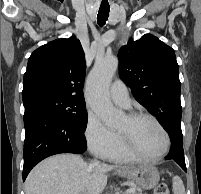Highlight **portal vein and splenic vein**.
<instances>
[{"instance_id":"obj_1","label":"portal vein and splenic vein","mask_w":201,"mask_h":194,"mask_svg":"<svg viewBox=\"0 0 201 194\" xmlns=\"http://www.w3.org/2000/svg\"><path fill=\"white\" fill-rule=\"evenodd\" d=\"M131 189H128L127 191H126V194H129V193H131Z\"/></svg>"}]
</instances>
